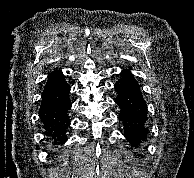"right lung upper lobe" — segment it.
<instances>
[{
	"mask_svg": "<svg viewBox=\"0 0 194 178\" xmlns=\"http://www.w3.org/2000/svg\"><path fill=\"white\" fill-rule=\"evenodd\" d=\"M57 73H59V71L55 70V71H53V72L50 74V76H51V75H54V74H57Z\"/></svg>",
	"mask_w": 194,
	"mask_h": 178,
	"instance_id": "obj_1",
	"label": "right lung upper lobe"
}]
</instances>
